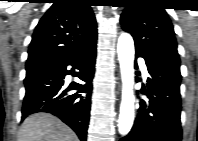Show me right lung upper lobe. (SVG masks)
I'll use <instances>...</instances> for the list:
<instances>
[{
    "label": "right lung upper lobe",
    "mask_w": 198,
    "mask_h": 141,
    "mask_svg": "<svg viewBox=\"0 0 198 141\" xmlns=\"http://www.w3.org/2000/svg\"><path fill=\"white\" fill-rule=\"evenodd\" d=\"M95 36L96 20L87 0H56L36 26L26 70L69 56Z\"/></svg>",
    "instance_id": "cb5924a9"
}]
</instances>
